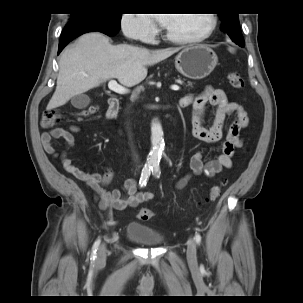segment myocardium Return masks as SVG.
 Instances as JSON below:
<instances>
[{
	"instance_id": "myocardium-1",
	"label": "myocardium",
	"mask_w": 303,
	"mask_h": 303,
	"mask_svg": "<svg viewBox=\"0 0 303 303\" xmlns=\"http://www.w3.org/2000/svg\"><path fill=\"white\" fill-rule=\"evenodd\" d=\"M210 16V25L209 27L201 34L196 36H188V37H179L171 34L166 29L164 31V36L172 42L179 43V44H188V43H196L200 42L206 38H208L215 30L217 26V17L215 14L211 13L208 14Z\"/></svg>"
}]
</instances>
